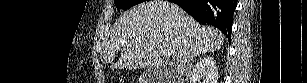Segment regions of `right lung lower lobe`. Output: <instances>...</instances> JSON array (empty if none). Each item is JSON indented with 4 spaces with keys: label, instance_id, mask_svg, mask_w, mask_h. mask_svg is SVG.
<instances>
[{
    "label": "right lung lower lobe",
    "instance_id": "1",
    "mask_svg": "<svg viewBox=\"0 0 307 83\" xmlns=\"http://www.w3.org/2000/svg\"><path fill=\"white\" fill-rule=\"evenodd\" d=\"M201 24L220 29L230 41L237 0H171Z\"/></svg>",
    "mask_w": 307,
    "mask_h": 83
}]
</instances>
